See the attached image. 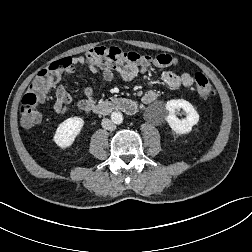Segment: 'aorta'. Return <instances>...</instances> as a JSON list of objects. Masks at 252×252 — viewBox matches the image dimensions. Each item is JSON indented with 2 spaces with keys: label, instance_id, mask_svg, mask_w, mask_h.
<instances>
[{
  "label": "aorta",
  "instance_id": "762f6f07",
  "mask_svg": "<svg viewBox=\"0 0 252 252\" xmlns=\"http://www.w3.org/2000/svg\"><path fill=\"white\" fill-rule=\"evenodd\" d=\"M111 119L115 124H121L123 122V115L119 111H115L111 114Z\"/></svg>",
  "mask_w": 252,
  "mask_h": 252
}]
</instances>
